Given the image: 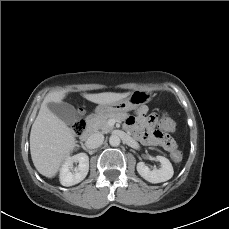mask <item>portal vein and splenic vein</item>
Wrapping results in <instances>:
<instances>
[{
	"label": "portal vein and splenic vein",
	"mask_w": 229,
	"mask_h": 229,
	"mask_svg": "<svg viewBox=\"0 0 229 229\" xmlns=\"http://www.w3.org/2000/svg\"><path fill=\"white\" fill-rule=\"evenodd\" d=\"M114 123H115L114 120H110V121H109V124H110V125H114Z\"/></svg>",
	"instance_id": "obj_1"
}]
</instances>
